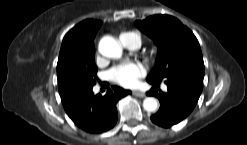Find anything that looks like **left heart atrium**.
I'll list each match as a JSON object with an SVG mask.
<instances>
[{
  "instance_id": "obj_1",
  "label": "left heart atrium",
  "mask_w": 247,
  "mask_h": 145,
  "mask_svg": "<svg viewBox=\"0 0 247 145\" xmlns=\"http://www.w3.org/2000/svg\"><path fill=\"white\" fill-rule=\"evenodd\" d=\"M143 75V68L133 63L114 67L108 72L109 79L123 87L135 86Z\"/></svg>"
}]
</instances>
